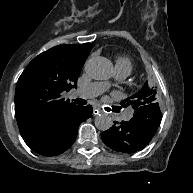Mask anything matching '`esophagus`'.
Listing matches in <instances>:
<instances>
[{"instance_id": "esophagus-1", "label": "esophagus", "mask_w": 193, "mask_h": 193, "mask_svg": "<svg viewBox=\"0 0 193 193\" xmlns=\"http://www.w3.org/2000/svg\"><path fill=\"white\" fill-rule=\"evenodd\" d=\"M99 113H100V110H99V109H97V108H94V109H93V115H94V116L98 115Z\"/></svg>"}]
</instances>
